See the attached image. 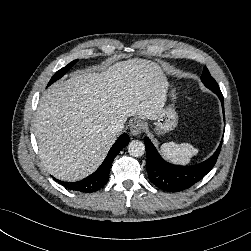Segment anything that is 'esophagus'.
<instances>
[{
    "label": "esophagus",
    "mask_w": 251,
    "mask_h": 251,
    "mask_svg": "<svg viewBox=\"0 0 251 251\" xmlns=\"http://www.w3.org/2000/svg\"><path fill=\"white\" fill-rule=\"evenodd\" d=\"M144 127L145 125L142 121L136 120L132 123L130 127V132L133 136H138L143 132Z\"/></svg>",
    "instance_id": "esophagus-1"
}]
</instances>
